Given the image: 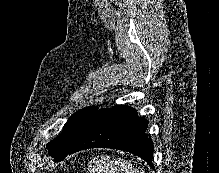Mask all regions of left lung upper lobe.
Returning <instances> with one entry per match:
<instances>
[{"instance_id":"obj_1","label":"left lung upper lobe","mask_w":219,"mask_h":173,"mask_svg":"<svg viewBox=\"0 0 219 173\" xmlns=\"http://www.w3.org/2000/svg\"><path fill=\"white\" fill-rule=\"evenodd\" d=\"M98 108L95 106L86 107L75 112L66 122L63 131L54 140L48 143L49 154L57 160L67 149L74 144L82 133L88 122L96 114Z\"/></svg>"}]
</instances>
